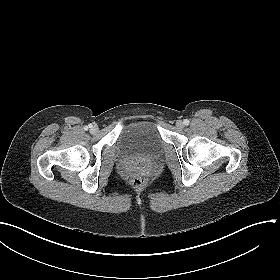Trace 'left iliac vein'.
I'll return each mask as SVG.
<instances>
[{"mask_svg":"<svg viewBox=\"0 0 280 280\" xmlns=\"http://www.w3.org/2000/svg\"><path fill=\"white\" fill-rule=\"evenodd\" d=\"M176 127L179 128V129H182L184 127V123L181 120H178L176 122Z\"/></svg>","mask_w":280,"mask_h":280,"instance_id":"1","label":"left iliac vein"}]
</instances>
